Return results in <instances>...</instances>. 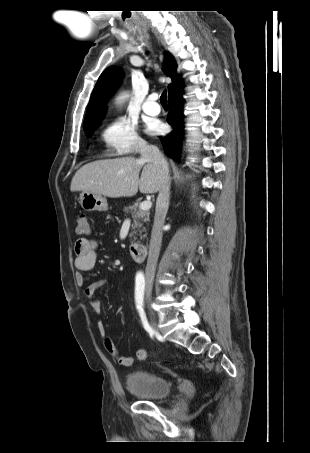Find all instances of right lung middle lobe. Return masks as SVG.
<instances>
[{"label": "right lung middle lobe", "mask_w": 310, "mask_h": 453, "mask_svg": "<svg viewBox=\"0 0 310 453\" xmlns=\"http://www.w3.org/2000/svg\"><path fill=\"white\" fill-rule=\"evenodd\" d=\"M95 127H97V125H95V126H89V127H84L85 133H86V134H91L92 131H93V129H94Z\"/></svg>", "instance_id": "right-lung-middle-lobe-1"}]
</instances>
